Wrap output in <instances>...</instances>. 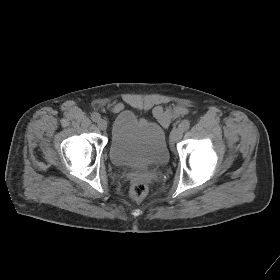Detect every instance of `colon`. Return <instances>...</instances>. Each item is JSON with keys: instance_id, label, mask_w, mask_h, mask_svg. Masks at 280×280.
Here are the masks:
<instances>
[{"instance_id": "obj_1", "label": "colon", "mask_w": 280, "mask_h": 280, "mask_svg": "<svg viewBox=\"0 0 280 280\" xmlns=\"http://www.w3.org/2000/svg\"><path fill=\"white\" fill-rule=\"evenodd\" d=\"M148 193L147 185L142 181H136L130 187L129 194L134 200L143 199Z\"/></svg>"}]
</instances>
